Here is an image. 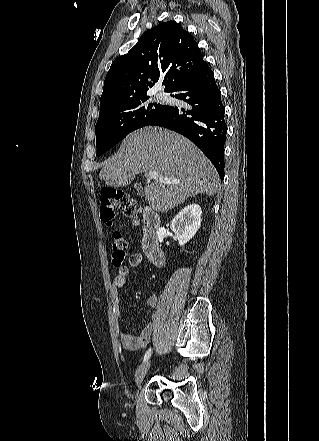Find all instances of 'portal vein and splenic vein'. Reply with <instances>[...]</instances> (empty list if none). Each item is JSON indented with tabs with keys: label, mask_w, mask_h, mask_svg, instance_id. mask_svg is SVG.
Instances as JSON below:
<instances>
[{
	"label": "portal vein and splenic vein",
	"mask_w": 319,
	"mask_h": 441,
	"mask_svg": "<svg viewBox=\"0 0 319 441\" xmlns=\"http://www.w3.org/2000/svg\"><path fill=\"white\" fill-rule=\"evenodd\" d=\"M148 179L149 180L159 179L164 183H177V182H179L177 179H174V178L160 177L159 173L157 171H150L148 173Z\"/></svg>",
	"instance_id": "portal-vein-and-splenic-vein-1"
}]
</instances>
